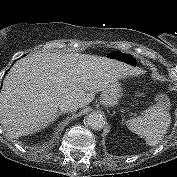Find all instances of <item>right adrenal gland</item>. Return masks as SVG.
<instances>
[{"label": "right adrenal gland", "instance_id": "1", "mask_svg": "<svg viewBox=\"0 0 177 177\" xmlns=\"http://www.w3.org/2000/svg\"><path fill=\"white\" fill-rule=\"evenodd\" d=\"M62 114V112H58L56 115H55V118H54V120H53V122L59 117V115H61Z\"/></svg>", "mask_w": 177, "mask_h": 177}]
</instances>
